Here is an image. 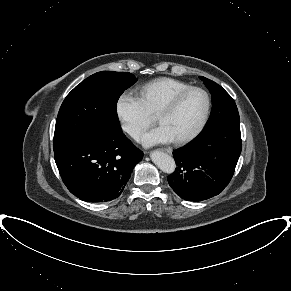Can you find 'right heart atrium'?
Segmentation results:
<instances>
[{
    "instance_id": "right-heart-atrium-1",
    "label": "right heart atrium",
    "mask_w": 291,
    "mask_h": 291,
    "mask_svg": "<svg viewBox=\"0 0 291 291\" xmlns=\"http://www.w3.org/2000/svg\"><path fill=\"white\" fill-rule=\"evenodd\" d=\"M116 114L123 130L133 139H139L154 123V117L141 100L130 93H122L116 101Z\"/></svg>"
}]
</instances>
